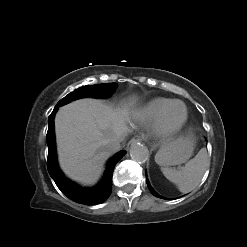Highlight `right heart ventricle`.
<instances>
[{
	"label": "right heart ventricle",
	"instance_id": "e07e8e85",
	"mask_svg": "<svg viewBox=\"0 0 247 247\" xmlns=\"http://www.w3.org/2000/svg\"><path fill=\"white\" fill-rule=\"evenodd\" d=\"M172 101L169 98H154L139 110L138 115L143 122L148 124L154 123L160 112Z\"/></svg>",
	"mask_w": 247,
	"mask_h": 247
}]
</instances>
